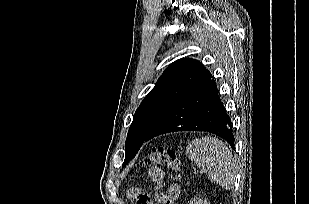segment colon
<instances>
[{"instance_id": "5ec220e1", "label": "colon", "mask_w": 309, "mask_h": 204, "mask_svg": "<svg viewBox=\"0 0 309 204\" xmlns=\"http://www.w3.org/2000/svg\"><path fill=\"white\" fill-rule=\"evenodd\" d=\"M144 166L160 165L172 169L178 174L181 173L180 161L175 150L163 147H153L148 155L143 159ZM147 202L146 197L139 196L137 204Z\"/></svg>"}]
</instances>
